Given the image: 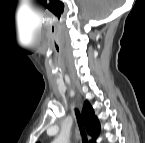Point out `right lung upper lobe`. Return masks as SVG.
I'll use <instances>...</instances> for the list:
<instances>
[{"instance_id":"1","label":"right lung upper lobe","mask_w":145,"mask_h":143,"mask_svg":"<svg viewBox=\"0 0 145 143\" xmlns=\"http://www.w3.org/2000/svg\"><path fill=\"white\" fill-rule=\"evenodd\" d=\"M82 119L87 133L92 137L91 142L95 143L100 126L98 119L94 115V111L88 101L85 102V106L82 111Z\"/></svg>"}]
</instances>
